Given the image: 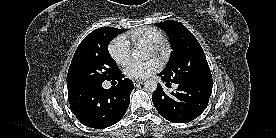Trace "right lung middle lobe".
<instances>
[{
    "label": "right lung middle lobe",
    "instance_id": "1",
    "mask_svg": "<svg viewBox=\"0 0 276 138\" xmlns=\"http://www.w3.org/2000/svg\"><path fill=\"white\" fill-rule=\"evenodd\" d=\"M125 29L101 27L88 34L75 51L67 74L68 91L112 79L120 72L108 45Z\"/></svg>",
    "mask_w": 276,
    "mask_h": 138
}]
</instances>
